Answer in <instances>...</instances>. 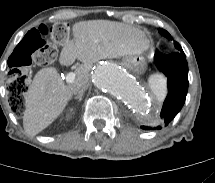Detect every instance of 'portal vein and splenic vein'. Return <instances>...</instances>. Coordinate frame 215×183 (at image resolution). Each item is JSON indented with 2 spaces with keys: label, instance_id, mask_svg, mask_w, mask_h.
<instances>
[{
  "label": "portal vein and splenic vein",
  "instance_id": "obj_1",
  "mask_svg": "<svg viewBox=\"0 0 215 183\" xmlns=\"http://www.w3.org/2000/svg\"><path fill=\"white\" fill-rule=\"evenodd\" d=\"M75 77H76V74L73 73V72H70V73H68L67 76H66V81H67L68 83H73V82L75 81Z\"/></svg>",
  "mask_w": 215,
  "mask_h": 183
}]
</instances>
